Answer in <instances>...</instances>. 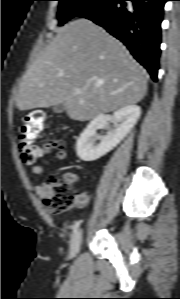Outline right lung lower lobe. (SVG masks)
Segmentation results:
<instances>
[{
	"label": "right lung lower lobe",
	"instance_id": "1",
	"mask_svg": "<svg viewBox=\"0 0 180 299\" xmlns=\"http://www.w3.org/2000/svg\"><path fill=\"white\" fill-rule=\"evenodd\" d=\"M166 1L103 0L79 17L92 20L122 41L156 81Z\"/></svg>",
	"mask_w": 180,
	"mask_h": 299
}]
</instances>
